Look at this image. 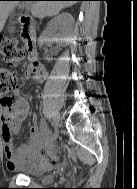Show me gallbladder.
I'll list each match as a JSON object with an SVG mask.
<instances>
[{"instance_id":"gallbladder-1","label":"gallbladder","mask_w":137,"mask_h":189,"mask_svg":"<svg viewBox=\"0 0 137 189\" xmlns=\"http://www.w3.org/2000/svg\"><path fill=\"white\" fill-rule=\"evenodd\" d=\"M18 9H23V8H26V5L25 4H19L18 6ZM8 30L10 32H13L15 30L14 28V12H10V25L8 27Z\"/></svg>"}]
</instances>
